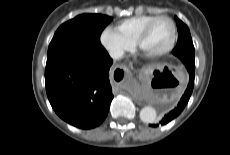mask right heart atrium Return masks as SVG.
Instances as JSON below:
<instances>
[{"label":"right heart atrium","instance_id":"obj_1","mask_svg":"<svg viewBox=\"0 0 230 155\" xmlns=\"http://www.w3.org/2000/svg\"><path fill=\"white\" fill-rule=\"evenodd\" d=\"M100 43L109 55L115 59L122 58L130 51L133 43L125 39L116 29L106 27L100 34Z\"/></svg>","mask_w":230,"mask_h":155}]
</instances>
